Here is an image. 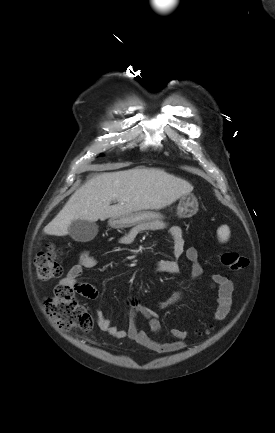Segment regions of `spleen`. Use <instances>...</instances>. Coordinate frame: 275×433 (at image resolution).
Masks as SVG:
<instances>
[{"mask_svg":"<svg viewBox=\"0 0 275 433\" xmlns=\"http://www.w3.org/2000/svg\"><path fill=\"white\" fill-rule=\"evenodd\" d=\"M217 236L220 242H226L230 237V229L227 225L218 228Z\"/></svg>","mask_w":275,"mask_h":433,"instance_id":"3e777b00","label":"spleen"}]
</instances>
